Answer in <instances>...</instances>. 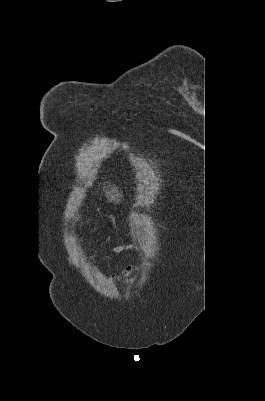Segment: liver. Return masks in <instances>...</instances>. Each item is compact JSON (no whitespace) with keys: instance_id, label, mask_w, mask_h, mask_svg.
I'll use <instances>...</instances> for the list:
<instances>
[{"instance_id":"1","label":"liver","mask_w":265,"mask_h":401,"mask_svg":"<svg viewBox=\"0 0 265 401\" xmlns=\"http://www.w3.org/2000/svg\"><path fill=\"white\" fill-rule=\"evenodd\" d=\"M116 196H118V194H116ZM112 201H115V198H114L113 194H112Z\"/></svg>"}]
</instances>
